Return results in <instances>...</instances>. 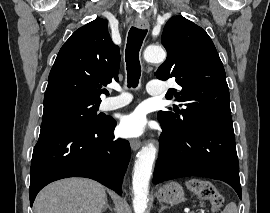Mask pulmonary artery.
<instances>
[{"mask_svg": "<svg viewBox=\"0 0 270 213\" xmlns=\"http://www.w3.org/2000/svg\"><path fill=\"white\" fill-rule=\"evenodd\" d=\"M147 91L152 96H158L163 94V82L153 80L148 83ZM120 94L114 97H109L103 105L104 110L110 111L121 108L127 105L131 101V96L120 90Z\"/></svg>", "mask_w": 270, "mask_h": 213, "instance_id": "1", "label": "pulmonary artery"}]
</instances>
